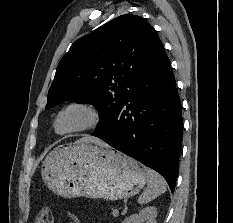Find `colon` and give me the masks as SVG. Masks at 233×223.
Listing matches in <instances>:
<instances>
[{"label":"colon","instance_id":"5ec220e1","mask_svg":"<svg viewBox=\"0 0 233 223\" xmlns=\"http://www.w3.org/2000/svg\"><path fill=\"white\" fill-rule=\"evenodd\" d=\"M37 223H53L50 210L43 209L38 216Z\"/></svg>","mask_w":233,"mask_h":223}]
</instances>
